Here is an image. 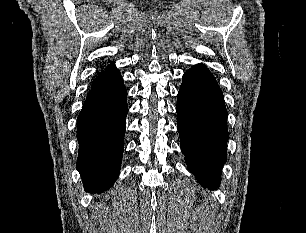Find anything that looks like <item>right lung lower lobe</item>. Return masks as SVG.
<instances>
[{"mask_svg":"<svg viewBox=\"0 0 306 233\" xmlns=\"http://www.w3.org/2000/svg\"><path fill=\"white\" fill-rule=\"evenodd\" d=\"M127 91L120 71L91 86L77 118V170L89 191H105L117 180L122 162Z\"/></svg>","mask_w":306,"mask_h":233,"instance_id":"1","label":"right lung lower lobe"}]
</instances>
